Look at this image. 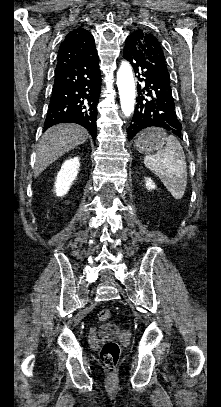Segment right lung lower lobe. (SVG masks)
I'll return each instance as SVG.
<instances>
[{"mask_svg": "<svg viewBox=\"0 0 221 407\" xmlns=\"http://www.w3.org/2000/svg\"><path fill=\"white\" fill-rule=\"evenodd\" d=\"M101 74L94 47L89 56L56 71L44 130L59 123H76L96 138Z\"/></svg>", "mask_w": 221, "mask_h": 407, "instance_id": "right-lung-lower-lobe-1", "label": "right lung lower lobe"}]
</instances>
